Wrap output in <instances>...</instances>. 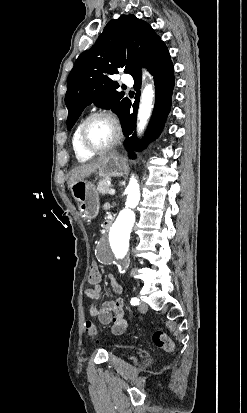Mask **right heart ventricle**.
I'll list each match as a JSON object with an SVG mask.
<instances>
[{
	"label": "right heart ventricle",
	"mask_w": 247,
	"mask_h": 413,
	"mask_svg": "<svg viewBox=\"0 0 247 413\" xmlns=\"http://www.w3.org/2000/svg\"><path fill=\"white\" fill-rule=\"evenodd\" d=\"M80 127L81 125H79L76 128L73 134L72 145H73V149H74L77 160L81 163H84V162L91 160L95 156V154L87 153L80 147L79 140H78V133H79Z\"/></svg>",
	"instance_id": "1"
}]
</instances>
